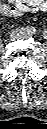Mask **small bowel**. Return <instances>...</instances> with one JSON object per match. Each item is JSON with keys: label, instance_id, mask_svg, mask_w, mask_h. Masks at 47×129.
Returning <instances> with one entry per match:
<instances>
[{"label": "small bowel", "instance_id": "obj_1", "mask_svg": "<svg viewBox=\"0 0 47 129\" xmlns=\"http://www.w3.org/2000/svg\"><path fill=\"white\" fill-rule=\"evenodd\" d=\"M46 10V0H6L0 5V13L6 17H19L27 12Z\"/></svg>", "mask_w": 47, "mask_h": 129}]
</instances>
